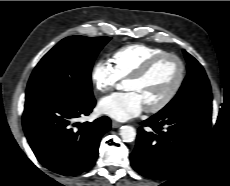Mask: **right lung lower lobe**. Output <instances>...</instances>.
<instances>
[{"label": "right lung lower lobe", "mask_w": 230, "mask_h": 186, "mask_svg": "<svg viewBox=\"0 0 230 186\" xmlns=\"http://www.w3.org/2000/svg\"><path fill=\"white\" fill-rule=\"evenodd\" d=\"M95 103L93 96L69 98L58 94L26 100L23 128L42 165L65 176L78 175L94 165L100 139L110 129L111 121L106 116L91 123L73 121L89 115Z\"/></svg>", "instance_id": "right-lung-lower-lobe-1"}]
</instances>
